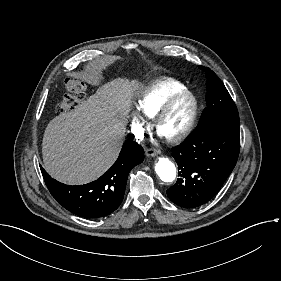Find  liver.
Wrapping results in <instances>:
<instances>
[{
    "label": "liver",
    "instance_id": "obj_1",
    "mask_svg": "<svg viewBox=\"0 0 281 281\" xmlns=\"http://www.w3.org/2000/svg\"><path fill=\"white\" fill-rule=\"evenodd\" d=\"M144 93L136 80L115 79L73 111L52 119L42 141L47 172L71 184L87 183L104 173L123 145L132 100Z\"/></svg>",
    "mask_w": 281,
    "mask_h": 281
}]
</instances>
